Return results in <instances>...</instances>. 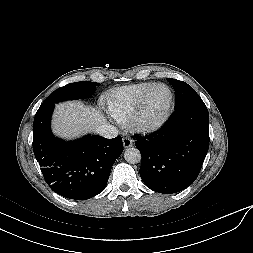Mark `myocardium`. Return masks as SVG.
<instances>
[{"instance_id":"myocardium-1","label":"myocardium","mask_w":253,"mask_h":253,"mask_svg":"<svg viewBox=\"0 0 253 253\" xmlns=\"http://www.w3.org/2000/svg\"><path fill=\"white\" fill-rule=\"evenodd\" d=\"M158 87H165L169 90L170 102L167 107V110L164 112V114L160 118L155 119V120H148L145 118V108L152 92ZM174 107H175V95L172 88L164 83L154 84L142 96L140 103L138 105V108L129 122L130 126L135 131L140 132V133L155 132L159 130L160 128H162L166 124V122L170 119L174 111Z\"/></svg>"}]
</instances>
